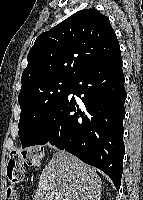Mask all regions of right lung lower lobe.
Instances as JSON below:
<instances>
[{"instance_id":"98d812e1","label":"right lung lower lobe","mask_w":143,"mask_h":200,"mask_svg":"<svg viewBox=\"0 0 143 200\" xmlns=\"http://www.w3.org/2000/svg\"><path fill=\"white\" fill-rule=\"evenodd\" d=\"M125 99L118 47L73 79L63 100L43 121L28 146L50 143L66 150L105 172L119 189L125 152Z\"/></svg>"}]
</instances>
